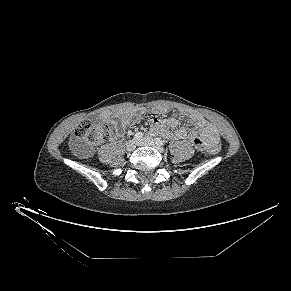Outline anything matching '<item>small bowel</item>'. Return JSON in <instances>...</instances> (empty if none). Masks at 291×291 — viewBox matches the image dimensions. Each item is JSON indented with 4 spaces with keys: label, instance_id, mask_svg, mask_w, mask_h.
I'll return each mask as SVG.
<instances>
[{
    "label": "small bowel",
    "instance_id": "small-bowel-1",
    "mask_svg": "<svg viewBox=\"0 0 291 291\" xmlns=\"http://www.w3.org/2000/svg\"><path fill=\"white\" fill-rule=\"evenodd\" d=\"M153 111L156 114H162L166 112V108L155 107ZM142 113V109H125L114 116L108 112L102 113L101 119L110 121L117 127L125 128L139 120ZM189 117L198 127L196 131L190 134L184 127L177 128L175 131L168 130L169 128H176L178 126V120L176 118L151 119V132L161 134L168 139H189L199 150H204L210 145L218 142L216 130L202 116L192 113Z\"/></svg>",
    "mask_w": 291,
    "mask_h": 291
}]
</instances>
